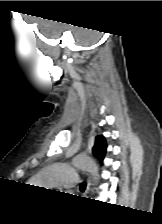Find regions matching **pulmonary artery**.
Listing matches in <instances>:
<instances>
[{
    "label": "pulmonary artery",
    "instance_id": "e3ab8cb5",
    "mask_svg": "<svg viewBox=\"0 0 162 224\" xmlns=\"http://www.w3.org/2000/svg\"><path fill=\"white\" fill-rule=\"evenodd\" d=\"M40 180L43 183L57 187H74L79 184V177L76 169L66 164L44 169Z\"/></svg>",
    "mask_w": 162,
    "mask_h": 224
}]
</instances>
